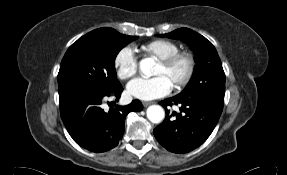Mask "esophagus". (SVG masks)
Returning a JSON list of instances; mask_svg holds the SVG:
<instances>
[{"mask_svg":"<svg viewBox=\"0 0 287 175\" xmlns=\"http://www.w3.org/2000/svg\"><path fill=\"white\" fill-rule=\"evenodd\" d=\"M153 102H148V101H146V102H143V106L144 107H148L149 105H151Z\"/></svg>","mask_w":287,"mask_h":175,"instance_id":"1","label":"esophagus"}]
</instances>
